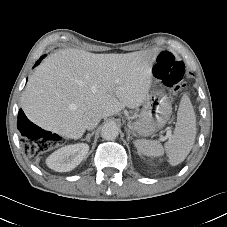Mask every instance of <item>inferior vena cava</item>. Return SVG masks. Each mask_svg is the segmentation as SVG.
Instances as JSON below:
<instances>
[{
	"mask_svg": "<svg viewBox=\"0 0 227 227\" xmlns=\"http://www.w3.org/2000/svg\"><path fill=\"white\" fill-rule=\"evenodd\" d=\"M101 119H102V116L99 113L88 114L85 118L86 129L88 130L94 129L98 125Z\"/></svg>",
	"mask_w": 227,
	"mask_h": 227,
	"instance_id": "inferior-vena-cava-1",
	"label": "inferior vena cava"
}]
</instances>
